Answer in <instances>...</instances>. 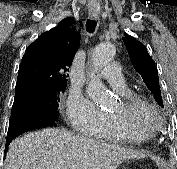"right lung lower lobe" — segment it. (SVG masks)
I'll return each mask as SVG.
<instances>
[{
  "label": "right lung lower lobe",
  "mask_w": 177,
  "mask_h": 169,
  "mask_svg": "<svg viewBox=\"0 0 177 169\" xmlns=\"http://www.w3.org/2000/svg\"><path fill=\"white\" fill-rule=\"evenodd\" d=\"M56 121L57 119L54 117L44 114L11 115L6 138V148L19 134L41 127L56 126Z\"/></svg>",
  "instance_id": "98d812e1"
}]
</instances>
